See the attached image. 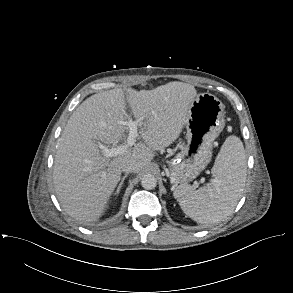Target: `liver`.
Returning <instances> with one entry per match:
<instances>
[{
	"label": "liver",
	"mask_w": 293,
	"mask_h": 293,
	"mask_svg": "<svg viewBox=\"0 0 293 293\" xmlns=\"http://www.w3.org/2000/svg\"><path fill=\"white\" fill-rule=\"evenodd\" d=\"M121 88L94 94L71 115L58 140L53 167L57 198L64 211L80 222L97 220L108 207L121 180L122 166L134 164L138 173L150 164L155 151H163L181 134L198 95L194 86L170 82L153 90ZM127 100L134 118L141 117L143 143L134 144L114 158L102 147L116 145L128 127Z\"/></svg>",
	"instance_id": "1"
}]
</instances>
